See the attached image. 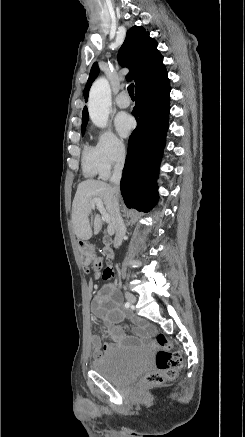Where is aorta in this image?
I'll return each instance as SVG.
<instances>
[{
    "label": "aorta",
    "instance_id": "aorta-1",
    "mask_svg": "<svg viewBox=\"0 0 245 437\" xmlns=\"http://www.w3.org/2000/svg\"><path fill=\"white\" fill-rule=\"evenodd\" d=\"M111 106V88L106 78L97 79L89 92L88 112L93 124L104 128L107 125Z\"/></svg>",
    "mask_w": 245,
    "mask_h": 437
}]
</instances>
